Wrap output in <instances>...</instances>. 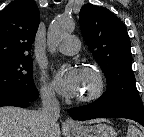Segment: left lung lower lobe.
Returning <instances> with one entry per match:
<instances>
[{
  "label": "left lung lower lobe",
  "mask_w": 144,
  "mask_h": 137,
  "mask_svg": "<svg viewBox=\"0 0 144 137\" xmlns=\"http://www.w3.org/2000/svg\"><path fill=\"white\" fill-rule=\"evenodd\" d=\"M69 114L75 120L102 117L128 118L144 126V109L139 99L105 102L99 98L87 106L69 109Z\"/></svg>",
  "instance_id": "0a47b994"
}]
</instances>
